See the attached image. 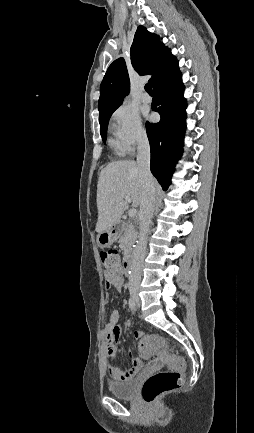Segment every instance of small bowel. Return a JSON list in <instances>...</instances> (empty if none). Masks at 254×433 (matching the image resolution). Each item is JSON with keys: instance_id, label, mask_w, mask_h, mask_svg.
<instances>
[{"instance_id": "small-bowel-1", "label": "small bowel", "mask_w": 254, "mask_h": 433, "mask_svg": "<svg viewBox=\"0 0 254 433\" xmlns=\"http://www.w3.org/2000/svg\"><path fill=\"white\" fill-rule=\"evenodd\" d=\"M124 285V278H106L105 286L107 289L114 287L120 291ZM120 314L118 310H113L110 317L105 325L106 341L104 343V350L107 358H113L117 351L116 339L121 335L122 328L119 325ZM134 338L141 339L143 333L141 331H135L133 333ZM142 360L138 356H131V365L128 369H121L116 365L108 362L107 371L109 376L113 380L125 381L133 378L141 369Z\"/></svg>"}]
</instances>
